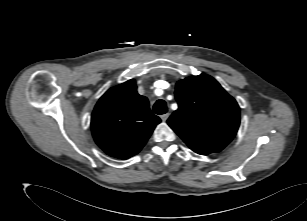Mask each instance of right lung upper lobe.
<instances>
[{"instance_id": "cb5924a9", "label": "right lung upper lobe", "mask_w": 307, "mask_h": 221, "mask_svg": "<svg viewBox=\"0 0 307 221\" xmlns=\"http://www.w3.org/2000/svg\"><path fill=\"white\" fill-rule=\"evenodd\" d=\"M136 89L133 79L110 88L92 113L95 142L115 158L127 159L137 154L161 122L151 112L147 98L139 95Z\"/></svg>"}]
</instances>
